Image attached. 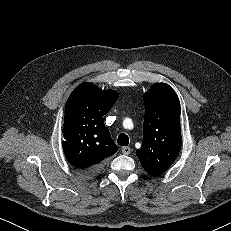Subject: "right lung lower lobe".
<instances>
[{"mask_svg":"<svg viewBox=\"0 0 231 231\" xmlns=\"http://www.w3.org/2000/svg\"><path fill=\"white\" fill-rule=\"evenodd\" d=\"M100 169V167H95L86 171H81L82 173L86 174V175H92L94 173H96L98 170Z\"/></svg>","mask_w":231,"mask_h":231,"instance_id":"obj_1","label":"right lung lower lobe"}]
</instances>
